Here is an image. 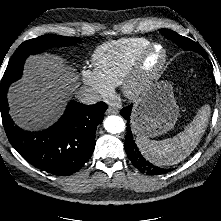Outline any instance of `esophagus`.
<instances>
[{
    "label": "esophagus",
    "instance_id": "obj_1",
    "mask_svg": "<svg viewBox=\"0 0 221 221\" xmlns=\"http://www.w3.org/2000/svg\"><path fill=\"white\" fill-rule=\"evenodd\" d=\"M118 109L114 108V107H109L106 111V114L110 115V114H118Z\"/></svg>",
    "mask_w": 221,
    "mask_h": 221
}]
</instances>
